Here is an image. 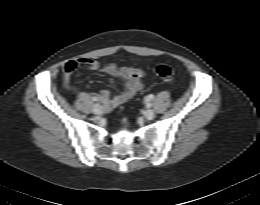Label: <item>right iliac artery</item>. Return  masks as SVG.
Returning <instances> with one entry per match:
<instances>
[{"label":"right iliac artery","mask_w":260,"mask_h":205,"mask_svg":"<svg viewBox=\"0 0 260 205\" xmlns=\"http://www.w3.org/2000/svg\"><path fill=\"white\" fill-rule=\"evenodd\" d=\"M93 100H94V101H98V98H97V97H94Z\"/></svg>","instance_id":"obj_1"}]
</instances>
